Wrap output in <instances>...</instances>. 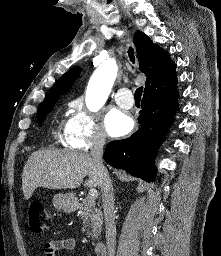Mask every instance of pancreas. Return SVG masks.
Instances as JSON below:
<instances>
[{
	"label": "pancreas",
	"instance_id": "obj_1",
	"mask_svg": "<svg viewBox=\"0 0 221 256\" xmlns=\"http://www.w3.org/2000/svg\"><path fill=\"white\" fill-rule=\"evenodd\" d=\"M80 215L83 219V231L87 228L88 237L97 238L101 233L103 215L100 208L96 206L95 200L86 197L80 207Z\"/></svg>",
	"mask_w": 221,
	"mask_h": 256
}]
</instances>
